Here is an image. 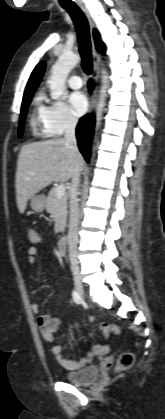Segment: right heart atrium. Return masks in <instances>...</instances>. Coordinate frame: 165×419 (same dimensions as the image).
Listing matches in <instances>:
<instances>
[{
	"label": "right heart atrium",
	"instance_id": "obj_1",
	"mask_svg": "<svg viewBox=\"0 0 165 419\" xmlns=\"http://www.w3.org/2000/svg\"><path fill=\"white\" fill-rule=\"evenodd\" d=\"M43 100L41 120L46 135L60 136L76 127L78 118L65 102L47 98Z\"/></svg>",
	"mask_w": 165,
	"mask_h": 419
}]
</instances>
